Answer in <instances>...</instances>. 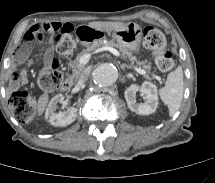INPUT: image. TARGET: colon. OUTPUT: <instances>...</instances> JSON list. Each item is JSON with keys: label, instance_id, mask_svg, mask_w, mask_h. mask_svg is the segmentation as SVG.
Returning a JSON list of instances; mask_svg holds the SVG:
<instances>
[{"label": "colon", "instance_id": "1", "mask_svg": "<svg viewBox=\"0 0 215 183\" xmlns=\"http://www.w3.org/2000/svg\"><path fill=\"white\" fill-rule=\"evenodd\" d=\"M71 29H63L50 43V48L58 54H68L74 48V39ZM143 43L146 49L151 51L155 57L157 67L164 72L170 71L174 66L172 53L166 48V39L162 32L155 27H146L143 33ZM24 45V44H23ZM39 49V43L24 45L23 56L27 53ZM63 80V75L59 70V63L52 58L41 70L39 74V84L46 91H53L59 88ZM9 105L22 123H30L36 115V103L34 98L25 91L14 92Z\"/></svg>", "mask_w": 215, "mask_h": 183}]
</instances>
